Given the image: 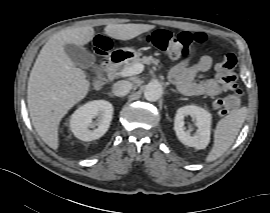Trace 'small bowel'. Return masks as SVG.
Returning a JSON list of instances; mask_svg holds the SVG:
<instances>
[{"label": "small bowel", "mask_w": 270, "mask_h": 213, "mask_svg": "<svg viewBox=\"0 0 270 213\" xmlns=\"http://www.w3.org/2000/svg\"><path fill=\"white\" fill-rule=\"evenodd\" d=\"M211 67L212 59L209 56H202L197 63L192 65L185 59L171 68L169 76L184 95L214 96L221 92V86L216 79L204 75V72Z\"/></svg>", "instance_id": "1"}]
</instances>
